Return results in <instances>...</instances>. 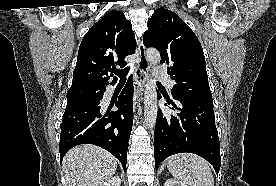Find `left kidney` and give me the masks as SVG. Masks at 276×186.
I'll return each mask as SVG.
<instances>
[{"label":"left kidney","mask_w":276,"mask_h":186,"mask_svg":"<svg viewBox=\"0 0 276 186\" xmlns=\"http://www.w3.org/2000/svg\"><path fill=\"white\" fill-rule=\"evenodd\" d=\"M164 186H187L184 182L177 179H167Z\"/></svg>","instance_id":"1"}]
</instances>
